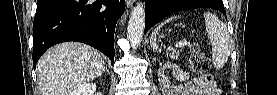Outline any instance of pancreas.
<instances>
[{
  "label": "pancreas",
  "mask_w": 277,
  "mask_h": 95,
  "mask_svg": "<svg viewBox=\"0 0 277 95\" xmlns=\"http://www.w3.org/2000/svg\"><path fill=\"white\" fill-rule=\"evenodd\" d=\"M178 57H179V52L173 51V52L170 54V58L173 59V60H177Z\"/></svg>",
  "instance_id": "obj_1"
}]
</instances>
